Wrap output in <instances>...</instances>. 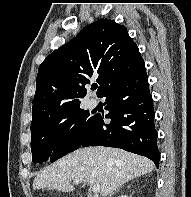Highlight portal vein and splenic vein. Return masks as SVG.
<instances>
[{
    "mask_svg": "<svg viewBox=\"0 0 191 197\" xmlns=\"http://www.w3.org/2000/svg\"><path fill=\"white\" fill-rule=\"evenodd\" d=\"M80 181L79 180H74L75 184H78ZM92 192L96 195L100 192V186L99 185H92Z\"/></svg>",
    "mask_w": 191,
    "mask_h": 197,
    "instance_id": "1",
    "label": "portal vein and splenic vein"
}]
</instances>
